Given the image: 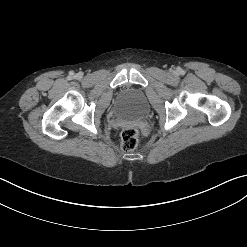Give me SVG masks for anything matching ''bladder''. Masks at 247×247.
Here are the masks:
<instances>
[{
  "instance_id": "31cf9c89",
  "label": "bladder",
  "mask_w": 247,
  "mask_h": 247,
  "mask_svg": "<svg viewBox=\"0 0 247 247\" xmlns=\"http://www.w3.org/2000/svg\"><path fill=\"white\" fill-rule=\"evenodd\" d=\"M115 110L123 118L137 119L143 117L147 112L145 92L136 87L125 88L117 99Z\"/></svg>"
}]
</instances>
